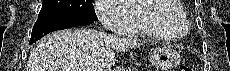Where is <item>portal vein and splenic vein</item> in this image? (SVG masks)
<instances>
[{
    "mask_svg": "<svg viewBox=\"0 0 230 71\" xmlns=\"http://www.w3.org/2000/svg\"><path fill=\"white\" fill-rule=\"evenodd\" d=\"M84 71H91V69L87 68V69H84Z\"/></svg>",
    "mask_w": 230,
    "mask_h": 71,
    "instance_id": "18ae733b",
    "label": "portal vein and splenic vein"
}]
</instances>
